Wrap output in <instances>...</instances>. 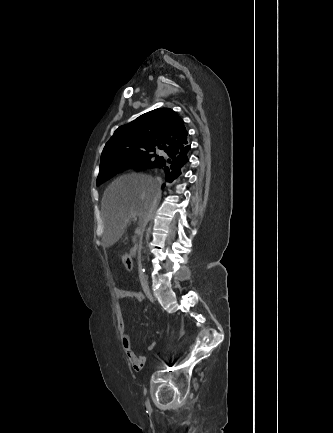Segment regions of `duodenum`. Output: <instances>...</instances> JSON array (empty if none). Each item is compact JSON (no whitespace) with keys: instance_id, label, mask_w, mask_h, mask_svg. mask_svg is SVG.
Instances as JSON below:
<instances>
[{"instance_id":"1","label":"duodenum","mask_w":333,"mask_h":433,"mask_svg":"<svg viewBox=\"0 0 333 433\" xmlns=\"http://www.w3.org/2000/svg\"><path fill=\"white\" fill-rule=\"evenodd\" d=\"M134 252H136V247H131V248H130V252H129L131 258H134V257H135Z\"/></svg>"}]
</instances>
